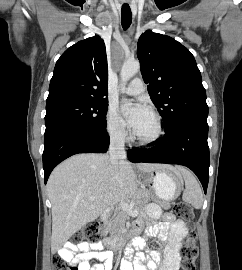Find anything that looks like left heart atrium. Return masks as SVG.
<instances>
[{"instance_id": "left-heart-atrium-1", "label": "left heart atrium", "mask_w": 242, "mask_h": 270, "mask_svg": "<svg viewBox=\"0 0 242 270\" xmlns=\"http://www.w3.org/2000/svg\"><path fill=\"white\" fill-rule=\"evenodd\" d=\"M128 125L134 132L143 124L147 117L151 114L150 108L142 101H137L132 105L124 104L121 107Z\"/></svg>"}]
</instances>
